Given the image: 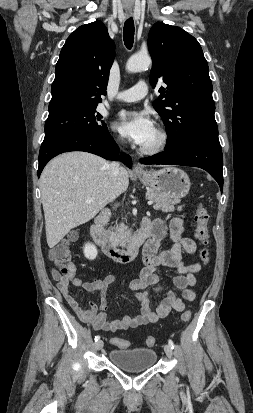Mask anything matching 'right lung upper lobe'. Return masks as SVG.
<instances>
[{
	"label": "right lung upper lobe",
	"mask_w": 253,
	"mask_h": 413,
	"mask_svg": "<svg viewBox=\"0 0 253 413\" xmlns=\"http://www.w3.org/2000/svg\"><path fill=\"white\" fill-rule=\"evenodd\" d=\"M115 45L97 20L76 29L66 40L55 67L49 115L97 107L106 95Z\"/></svg>",
	"instance_id": "right-lung-upper-lobe-1"
}]
</instances>
